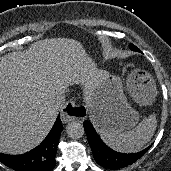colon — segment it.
I'll use <instances>...</instances> for the list:
<instances>
[{"mask_svg":"<svg viewBox=\"0 0 171 171\" xmlns=\"http://www.w3.org/2000/svg\"><path fill=\"white\" fill-rule=\"evenodd\" d=\"M139 78H140V74L137 73V72L132 73L130 75L128 85H129V88L131 90H134L135 89V85H136L137 81L139 80Z\"/></svg>","mask_w":171,"mask_h":171,"instance_id":"obj_1","label":"colon"}]
</instances>
